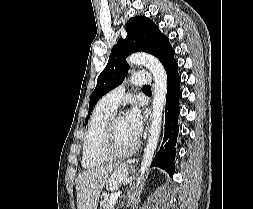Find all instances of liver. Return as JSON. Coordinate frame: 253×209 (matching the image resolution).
<instances>
[{
	"label": "liver",
	"instance_id": "liver-1",
	"mask_svg": "<svg viewBox=\"0 0 253 209\" xmlns=\"http://www.w3.org/2000/svg\"><path fill=\"white\" fill-rule=\"evenodd\" d=\"M126 178V166L118 164L102 165L82 172L76 179L77 209H97L105 184L115 189Z\"/></svg>",
	"mask_w": 253,
	"mask_h": 209
}]
</instances>
